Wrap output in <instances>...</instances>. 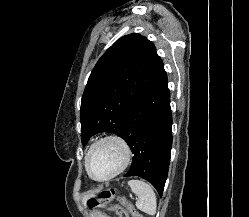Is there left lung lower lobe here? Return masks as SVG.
Listing matches in <instances>:
<instances>
[{
    "label": "left lung lower lobe",
    "instance_id": "1",
    "mask_svg": "<svg viewBox=\"0 0 249 217\" xmlns=\"http://www.w3.org/2000/svg\"><path fill=\"white\" fill-rule=\"evenodd\" d=\"M171 127L170 93L163 71L129 112L122 135L134 154L131 169L124 176L149 181L160 196L169 169Z\"/></svg>",
    "mask_w": 249,
    "mask_h": 217
}]
</instances>
